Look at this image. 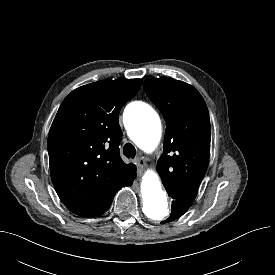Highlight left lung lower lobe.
I'll return each mask as SVG.
<instances>
[{
  "mask_svg": "<svg viewBox=\"0 0 275 275\" xmlns=\"http://www.w3.org/2000/svg\"><path fill=\"white\" fill-rule=\"evenodd\" d=\"M165 188L173 201L171 215L163 223L170 222L181 217L192 205L198 193L192 189L174 188L169 186H165Z\"/></svg>",
  "mask_w": 275,
  "mask_h": 275,
  "instance_id": "1",
  "label": "left lung lower lobe"
}]
</instances>
